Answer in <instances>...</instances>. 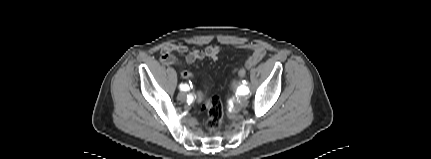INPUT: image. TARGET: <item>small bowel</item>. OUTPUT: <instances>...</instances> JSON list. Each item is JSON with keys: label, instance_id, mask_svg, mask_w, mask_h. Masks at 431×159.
Here are the masks:
<instances>
[{"label": "small bowel", "instance_id": "c3829d8e", "mask_svg": "<svg viewBox=\"0 0 431 159\" xmlns=\"http://www.w3.org/2000/svg\"><path fill=\"white\" fill-rule=\"evenodd\" d=\"M239 48L247 49L252 52V54L248 57L244 65L239 68H244L245 72L258 64L265 56L266 50L262 45L259 44H243L240 45ZM174 52L178 53H186L188 52V47L185 44H167L161 49L160 61L162 64L166 66L177 65L179 61L174 56ZM221 52L220 47L218 46H208L203 50H193L190 51L186 58L185 62L187 64H193L194 62L201 60L205 57L216 60ZM239 68L237 70H239ZM236 70V72H237Z\"/></svg>", "mask_w": 431, "mask_h": 159}]
</instances>
